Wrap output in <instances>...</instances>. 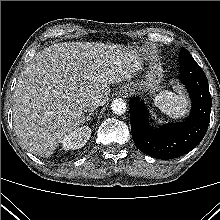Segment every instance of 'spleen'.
<instances>
[{"label":"spleen","mask_w":220,"mask_h":220,"mask_svg":"<svg viewBox=\"0 0 220 220\" xmlns=\"http://www.w3.org/2000/svg\"><path fill=\"white\" fill-rule=\"evenodd\" d=\"M175 91H161L154 99L155 105L166 115L178 119L188 112L189 101L183 93L182 87L177 85L173 87Z\"/></svg>","instance_id":"spleen-1"}]
</instances>
